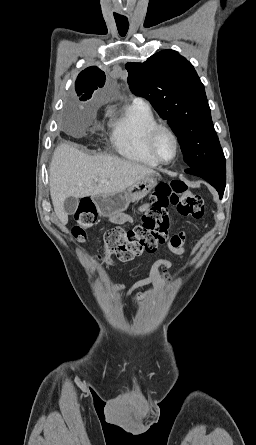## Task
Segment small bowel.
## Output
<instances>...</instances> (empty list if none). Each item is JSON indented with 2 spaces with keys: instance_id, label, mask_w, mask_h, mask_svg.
I'll return each mask as SVG.
<instances>
[{
  "instance_id": "obj_1",
  "label": "small bowel",
  "mask_w": 256,
  "mask_h": 445,
  "mask_svg": "<svg viewBox=\"0 0 256 445\" xmlns=\"http://www.w3.org/2000/svg\"><path fill=\"white\" fill-rule=\"evenodd\" d=\"M147 206H142L141 209H145ZM187 238L186 233L179 232L174 233L169 237L168 240V248L169 250L176 255L178 259L184 258L186 254V250L183 247V244ZM173 266V261L169 259H160L156 261L149 272V275L134 284H132L129 288L124 289L121 288L125 295H129L131 291L137 288L146 287L149 285L154 286V293H160L167 288L170 282V274L169 269ZM145 293H138L134 299L133 304L137 305L141 302V300L145 297Z\"/></svg>"
}]
</instances>
